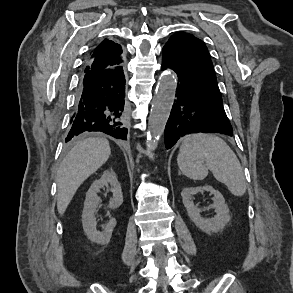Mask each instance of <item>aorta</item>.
Listing matches in <instances>:
<instances>
[{"label": "aorta", "instance_id": "obj_1", "mask_svg": "<svg viewBox=\"0 0 293 293\" xmlns=\"http://www.w3.org/2000/svg\"><path fill=\"white\" fill-rule=\"evenodd\" d=\"M176 88L177 76L173 72L169 71L161 76L148 121L149 143L147 151L149 155L156 149L158 139L164 132L174 102Z\"/></svg>", "mask_w": 293, "mask_h": 293}]
</instances>
